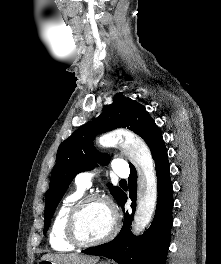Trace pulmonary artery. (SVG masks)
<instances>
[{"instance_id":"obj_1","label":"pulmonary artery","mask_w":221,"mask_h":264,"mask_svg":"<svg viewBox=\"0 0 221 264\" xmlns=\"http://www.w3.org/2000/svg\"><path fill=\"white\" fill-rule=\"evenodd\" d=\"M113 171L119 177H127L129 175V169L126 162L122 159H115L113 161ZM97 175L96 171H84L77 174L75 183L78 188L82 190L88 189L92 185L93 178Z\"/></svg>"}]
</instances>
